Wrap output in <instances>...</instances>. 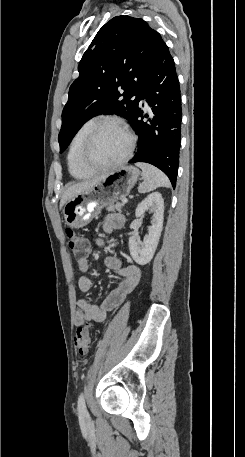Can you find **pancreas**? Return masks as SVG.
<instances>
[{
    "mask_svg": "<svg viewBox=\"0 0 245 457\" xmlns=\"http://www.w3.org/2000/svg\"><path fill=\"white\" fill-rule=\"evenodd\" d=\"M104 206H106V210H119V212H121L124 202H106Z\"/></svg>",
    "mask_w": 245,
    "mask_h": 457,
    "instance_id": "cf45deb5",
    "label": "pancreas"
}]
</instances>
